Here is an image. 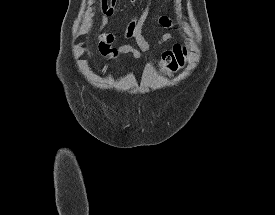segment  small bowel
Returning a JSON list of instances; mask_svg holds the SVG:
<instances>
[{"mask_svg":"<svg viewBox=\"0 0 275 215\" xmlns=\"http://www.w3.org/2000/svg\"><path fill=\"white\" fill-rule=\"evenodd\" d=\"M100 11L102 24L96 32L93 41L98 42L99 51L102 54V56L105 57L107 60H112L117 55H124L129 58L140 59L142 56V52L152 53L159 46L170 42L173 38L171 34L166 33L161 37L160 41L157 44L152 45L148 43L142 34V28L145 23L146 17L145 12H143L139 18L131 21L127 29L123 33L118 35L114 32L103 33L102 29L106 25L108 18L113 15L114 9L110 8L106 1L101 0ZM159 23L160 25L166 28L172 27V22L168 20L166 17H161L159 19ZM117 37L133 38L136 41L138 48H135L131 45H122L118 48L112 47V44L115 42Z\"/></svg>","mask_w":275,"mask_h":215,"instance_id":"c3829d8e","label":"small bowel"}]
</instances>
